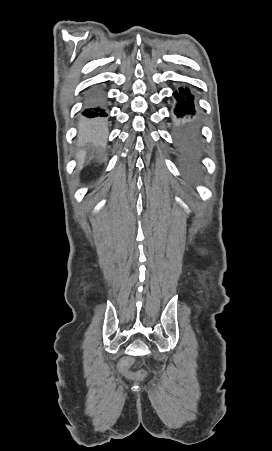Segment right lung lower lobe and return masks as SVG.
I'll return each instance as SVG.
<instances>
[{"label": "right lung lower lobe", "mask_w": 272, "mask_h": 451, "mask_svg": "<svg viewBox=\"0 0 272 451\" xmlns=\"http://www.w3.org/2000/svg\"><path fill=\"white\" fill-rule=\"evenodd\" d=\"M81 115L83 116L81 125L86 131H101L107 126L108 114L102 103L101 96L97 93L88 95L85 108L81 111Z\"/></svg>", "instance_id": "1"}]
</instances>
